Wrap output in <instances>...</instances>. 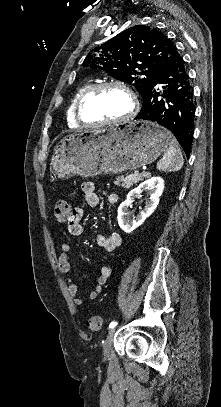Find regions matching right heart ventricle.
I'll return each mask as SVG.
<instances>
[{
	"label": "right heart ventricle",
	"mask_w": 221,
	"mask_h": 407,
	"mask_svg": "<svg viewBox=\"0 0 221 407\" xmlns=\"http://www.w3.org/2000/svg\"><path fill=\"white\" fill-rule=\"evenodd\" d=\"M92 83H83L80 86H78L72 93L69 102L66 107V117H67V122L68 125L70 126H78L79 122L76 119L75 116V105L78 100V98L88 89L92 86Z\"/></svg>",
	"instance_id": "e07e8e85"
}]
</instances>
